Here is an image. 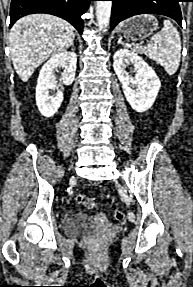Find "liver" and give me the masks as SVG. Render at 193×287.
Listing matches in <instances>:
<instances>
[{
    "label": "liver",
    "mask_w": 193,
    "mask_h": 287,
    "mask_svg": "<svg viewBox=\"0 0 193 287\" xmlns=\"http://www.w3.org/2000/svg\"><path fill=\"white\" fill-rule=\"evenodd\" d=\"M75 38L67 21L47 14L19 19L11 28L9 47L14 69L23 82L49 57L65 52Z\"/></svg>",
    "instance_id": "obj_1"
}]
</instances>
